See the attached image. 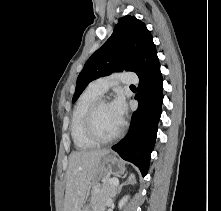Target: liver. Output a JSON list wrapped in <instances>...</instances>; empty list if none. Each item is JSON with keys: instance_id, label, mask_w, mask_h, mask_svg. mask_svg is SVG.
<instances>
[{"instance_id": "6515ba94", "label": "liver", "mask_w": 221, "mask_h": 211, "mask_svg": "<svg viewBox=\"0 0 221 211\" xmlns=\"http://www.w3.org/2000/svg\"><path fill=\"white\" fill-rule=\"evenodd\" d=\"M109 150L73 152L66 172V191L63 211H81L91 180L97 173L99 162Z\"/></svg>"}]
</instances>
